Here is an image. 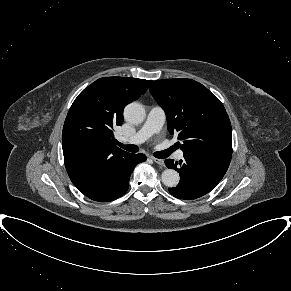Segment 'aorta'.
Segmentation results:
<instances>
[{
  "label": "aorta",
  "instance_id": "aorta-1",
  "mask_svg": "<svg viewBox=\"0 0 291 291\" xmlns=\"http://www.w3.org/2000/svg\"><path fill=\"white\" fill-rule=\"evenodd\" d=\"M145 109L137 102L128 104L124 109V118L131 124H140L145 119ZM179 173L173 169H166L162 172L161 180L167 187H175L179 183Z\"/></svg>",
  "mask_w": 291,
  "mask_h": 291
}]
</instances>
